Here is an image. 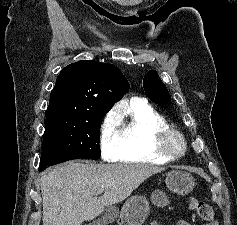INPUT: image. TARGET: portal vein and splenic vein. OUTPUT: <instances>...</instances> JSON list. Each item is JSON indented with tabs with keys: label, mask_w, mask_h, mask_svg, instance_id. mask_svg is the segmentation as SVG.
Listing matches in <instances>:
<instances>
[{
	"label": "portal vein and splenic vein",
	"mask_w": 237,
	"mask_h": 225,
	"mask_svg": "<svg viewBox=\"0 0 237 225\" xmlns=\"http://www.w3.org/2000/svg\"><path fill=\"white\" fill-rule=\"evenodd\" d=\"M103 190H104V186H102V187L97 191V194H102V193H103Z\"/></svg>",
	"instance_id": "1"
}]
</instances>
